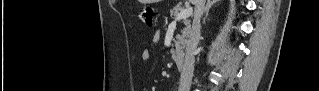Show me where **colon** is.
Here are the masks:
<instances>
[{"instance_id": "5ec220e1", "label": "colon", "mask_w": 319, "mask_h": 91, "mask_svg": "<svg viewBox=\"0 0 319 91\" xmlns=\"http://www.w3.org/2000/svg\"><path fill=\"white\" fill-rule=\"evenodd\" d=\"M154 9L152 7H145L140 13V20L141 22L151 28L154 25V18H153Z\"/></svg>"}]
</instances>
